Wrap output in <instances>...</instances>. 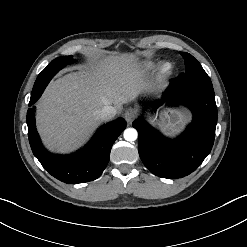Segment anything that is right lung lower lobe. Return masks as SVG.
I'll return each instance as SVG.
<instances>
[{
  "mask_svg": "<svg viewBox=\"0 0 247 247\" xmlns=\"http://www.w3.org/2000/svg\"><path fill=\"white\" fill-rule=\"evenodd\" d=\"M41 94L42 92L31 98L29 106H32ZM34 112V107L27 111L28 138L32 152L48 173L67 184L97 179L109 162L113 143L126 128V122L119 118L102 126L82 150L69 156L53 155L43 147L40 141Z\"/></svg>",
  "mask_w": 247,
  "mask_h": 247,
  "instance_id": "98d812e1",
  "label": "right lung lower lobe"
}]
</instances>
